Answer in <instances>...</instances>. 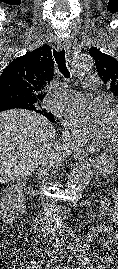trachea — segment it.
<instances>
[{"label": "trachea", "instance_id": "obj_1", "mask_svg": "<svg viewBox=\"0 0 118 269\" xmlns=\"http://www.w3.org/2000/svg\"><path fill=\"white\" fill-rule=\"evenodd\" d=\"M53 56L56 60L57 66L59 71L62 73V75L69 79L70 78V72L66 66V60H65V49L62 50H53Z\"/></svg>", "mask_w": 118, "mask_h": 269}]
</instances>
